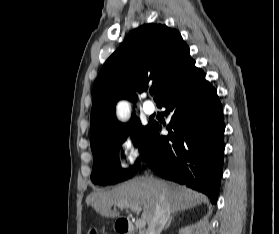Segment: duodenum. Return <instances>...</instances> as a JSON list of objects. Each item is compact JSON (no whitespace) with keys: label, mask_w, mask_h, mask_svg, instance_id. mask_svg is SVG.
Returning a JSON list of instances; mask_svg holds the SVG:
<instances>
[{"label":"duodenum","mask_w":279,"mask_h":234,"mask_svg":"<svg viewBox=\"0 0 279 234\" xmlns=\"http://www.w3.org/2000/svg\"><path fill=\"white\" fill-rule=\"evenodd\" d=\"M117 231L119 234H132L133 224L127 219H120L117 224Z\"/></svg>","instance_id":"1"}]
</instances>
